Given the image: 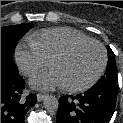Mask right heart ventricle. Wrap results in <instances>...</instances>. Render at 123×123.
<instances>
[{
	"label": "right heart ventricle",
	"mask_w": 123,
	"mask_h": 123,
	"mask_svg": "<svg viewBox=\"0 0 123 123\" xmlns=\"http://www.w3.org/2000/svg\"><path fill=\"white\" fill-rule=\"evenodd\" d=\"M86 39L91 38L79 30L70 27H55L34 33L30 36L29 42L50 60L56 53L68 45Z\"/></svg>",
	"instance_id": "e07e8e85"
}]
</instances>
